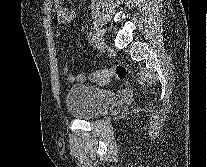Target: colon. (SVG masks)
I'll return each mask as SVG.
<instances>
[{"instance_id": "1", "label": "colon", "mask_w": 207, "mask_h": 167, "mask_svg": "<svg viewBox=\"0 0 207 167\" xmlns=\"http://www.w3.org/2000/svg\"><path fill=\"white\" fill-rule=\"evenodd\" d=\"M126 76V68L123 65H116L112 68L96 70L90 74L89 78L98 85H106L112 79L124 80Z\"/></svg>"}]
</instances>
